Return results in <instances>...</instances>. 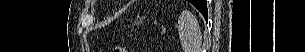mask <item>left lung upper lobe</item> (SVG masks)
<instances>
[{"mask_svg":"<svg viewBox=\"0 0 305 52\" xmlns=\"http://www.w3.org/2000/svg\"><path fill=\"white\" fill-rule=\"evenodd\" d=\"M190 2H191L195 7H202V6H203V1H202V0H190Z\"/></svg>","mask_w":305,"mask_h":52,"instance_id":"5c2ea615","label":"left lung upper lobe"}]
</instances>
